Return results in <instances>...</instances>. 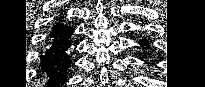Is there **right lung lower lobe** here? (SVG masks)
<instances>
[{"label": "right lung lower lobe", "mask_w": 205, "mask_h": 87, "mask_svg": "<svg viewBox=\"0 0 205 87\" xmlns=\"http://www.w3.org/2000/svg\"><path fill=\"white\" fill-rule=\"evenodd\" d=\"M73 28L62 17L53 24L48 43L40 57L39 72L46 78V87H62L71 64L70 47Z\"/></svg>", "instance_id": "1"}]
</instances>
